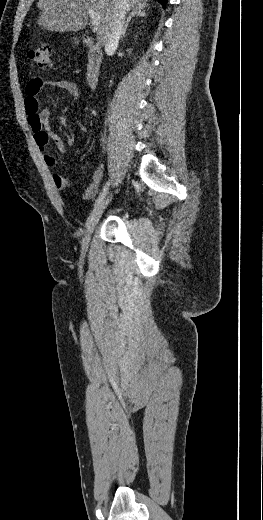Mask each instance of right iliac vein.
<instances>
[{"label":"right iliac vein","instance_id":"obj_1","mask_svg":"<svg viewBox=\"0 0 263 520\" xmlns=\"http://www.w3.org/2000/svg\"><path fill=\"white\" fill-rule=\"evenodd\" d=\"M111 200V196H108L106 199L102 200L91 212L88 217L86 223V234L82 239V250L85 252L88 249L89 241L91 234L96 227L100 217L102 216L103 211L107 207L108 203Z\"/></svg>","mask_w":263,"mask_h":520}]
</instances>
